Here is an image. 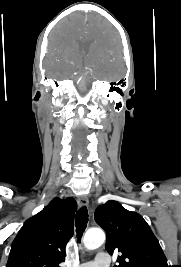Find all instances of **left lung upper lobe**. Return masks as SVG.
<instances>
[{
    "label": "left lung upper lobe",
    "mask_w": 181,
    "mask_h": 267,
    "mask_svg": "<svg viewBox=\"0 0 181 267\" xmlns=\"http://www.w3.org/2000/svg\"><path fill=\"white\" fill-rule=\"evenodd\" d=\"M94 218L106 231L109 254L121 253L114 267H169L158 240L138 213L109 200L96 209Z\"/></svg>",
    "instance_id": "1"
}]
</instances>
